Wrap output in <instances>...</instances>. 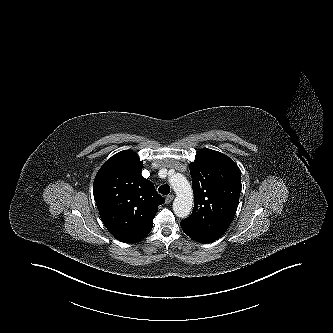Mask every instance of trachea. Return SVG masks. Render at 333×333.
Returning a JSON list of instances; mask_svg holds the SVG:
<instances>
[{"mask_svg":"<svg viewBox=\"0 0 333 333\" xmlns=\"http://www.w3.org/2000/svg\"><path fill=\"white\" fill-rule=\"evenodd\" d=\"M159 193L163 194V195H167L170 193V187L167 184L161 185L158 188Z\"/></svg>","mask_w":333,"mask_h":333,"instance_id":"1","label":"trachea"}]
</instances>
